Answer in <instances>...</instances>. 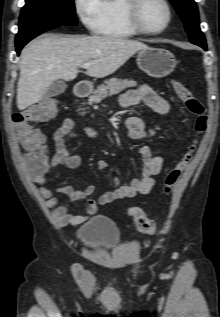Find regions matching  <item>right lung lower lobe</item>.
<instances>
[{
    "instance_id": "1",
    "label": "right lung lower lobe",
    "mask_w": 220,
    "mask_h": 317,
    "mask_svg": "<svg viewBox=\"0 0 220 317\" xmlns=\"http://www.w3.org/2000/svg\"><path fill=\"white\" fill-rule=\"evenodd\" d=\"M52 28H55V27L38 30V31L34 32L33 34L29 35L28 37H26L20 41H16V52L19 54L21 49L23 48V46L25 44H27L31 39H33L34 37L38 36L39 34L45 32L47 30H50Z\"/></svg>"
}]
</instances>
